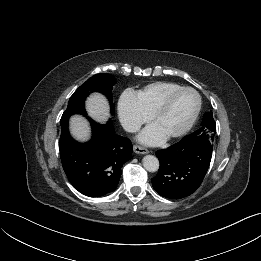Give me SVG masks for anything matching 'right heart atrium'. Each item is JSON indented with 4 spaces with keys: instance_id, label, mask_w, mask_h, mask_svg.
Returning a JSON list of instances; mask_svg holds the SVG:
<instances>
[{
    "instance_id": "obj_1",
    "label": "right heart atrium",
    "mask_w": 261,
    "mask_h": 261,
    "mask_svg": "<svg viewBox=\"0 0 261 261\" xmlns=\"http://www.w3.org/2000/svg\"><path fill=\"white\" fill-rule=\"evenodd\" d=\"M117 110L119 121L128 132H136L149 120L132 93H124L120 97Z\"/></svg>"
}]
</instances>
